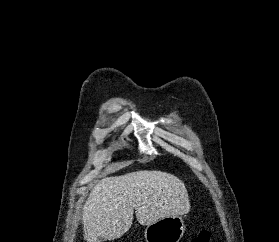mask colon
<instances>
[{
    "label": "colon",
    "mask_w": 279,
    "mask_h": 242,
    "mask_svg": "<svg viewBox=\"0 0 279 242\" xmlns=\"http://www.w3.org/2000/svg\"><path fill=\"white\" fill-rule=\"evenodd\" d=\"M211 241V230L206 228L200 232L198 236L193 238L191 242H210Z\"/></svg>",
    "instance_id": "colon-1"
}]
</instances>
